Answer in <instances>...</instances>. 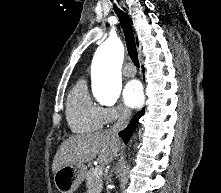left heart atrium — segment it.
<instances>
[{
    "label": "left heart atrium",
    "mask_w": 221,
    "mask_h": 193,
    "mask_svg": "<svg viewBox=\"0 0 221 193\" xmlns=\"http://www.w3.org/2000/svg\"><path fill=\"white\" fill-rule=\"evenodd\" d=\"M122 98L127 106L131 108L139 107L143 102L141 84L136 80L128 82L124 87Z\"/></svg>",
    "instance_id": "obj_1"
}]
</instances>
